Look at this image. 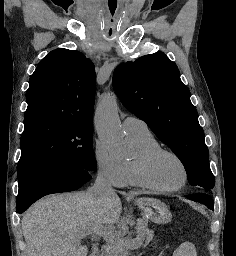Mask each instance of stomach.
<instances>
[{
    "instance_id": "obj_1",
    "label": "stomach",
    "mask_w": 236,
    "mask_h": 256,
    "mask_svg": "<svg viewBox=\"0 0 236 256\" xmlns=\"http://www.w3.org/2000/svg\"><path fill=\"white\" fill-rule=\"evenodd\" d=\"M137 205L143 213L154 223L166 224L168 223L172 215L168 207L157 199L141 198L137 201Z\"/></svg>"
}]
</instances>
